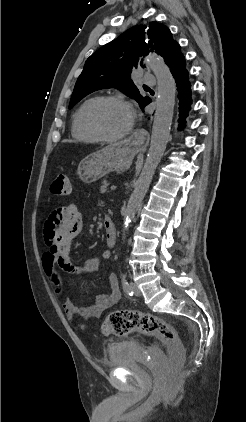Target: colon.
<instances>
[{"label":"colon","instance_id":"1","mask_svg":"<svg viewBox=\"0 0 246 422\" xmlns=\"http://www.w3.org/2000/svg\"><path fill=\"white\" fill-rule=\"evenodd\" d=\"M70 190L71 182L65 174H58L50 186L51 193L57 196H65ZM54 283L57 292H60L58 272L54 274ZM132 332L148 334L159 339L168 348L174 366L183 362L184 348L179 336L174 327L161 317L133 310H118L111 312L102 324V333L107 336H123Z\"/></svg>","mask_w":246,"mask_h":422}]
</instances>
